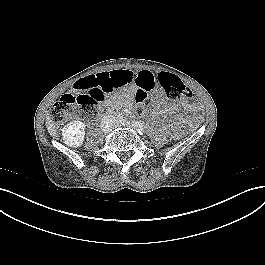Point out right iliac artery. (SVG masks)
Returning a JSON list of instances; mask_svg holds the SVG:
<instances>
[{"label":"right iliac artery","instance_id":"right-iliac-artery-1","mask_svg":"<svg viewBox=\"0 0 265 265\" xmlns=\"http://www.w3.org/2000/svg\"><path fill=\"white\" fill-rule=\"evenodd\" d=\"M117 120H118L119 122L123 121V116H122L121 114H119V115L117 116Z\"/></svg>","mask_w":265,"mask_h":265}]
</instances>
